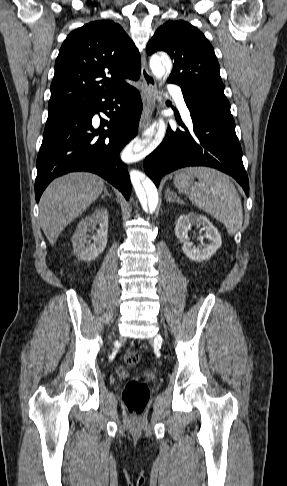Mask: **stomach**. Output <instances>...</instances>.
<instances>
[{"label":"stomach","mask_w":287,"mask_h":486,"mask_svg":"<svg viewBox=\"0 0 287 486\" xmlns=\"http://www.w3.org/2000/svg\"><path fill=\"white\" fill-rule=\"evenodd\" d=\"M193 181V175L188 171L179 172L174 178L175 187L179 190L188 189Z\"/></svg>","instance_id":"stomach-1"}]
</instances>
